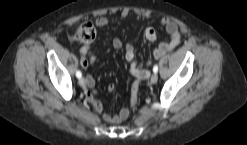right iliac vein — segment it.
Masks as SVG:
<instances>
[{
    "label": "right iliac vein",
    "instance_id": "right-iliac-vein-1",
    "mask_svg": "<svg viewBox=\"0 0 247 145\" xmlns=\"http://www.w3.org/2000/svg\"><path fill=\"white\" fill-rule=\"evenodd\" d=\"M79 84H80L81 87H85V86H86V79L83 78V77L80 78V79H79Z\"/></svg>",
    "mask_w": 247,
    "mask_h": 145
}]
</instances>
